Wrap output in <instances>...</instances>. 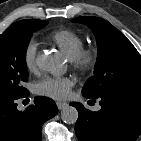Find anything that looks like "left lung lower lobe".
Instances as JSON below:
<instances>
[{
	"mask_svg": "<svg viewBox=\"0 0 141 141\" xmlns=\"http://www.w3.org/2000/svg\"><path fill=\"white\" fill-rule=\"evenodd\" d=\"M97 98L101 105L97 112L86 109L81 103L70 104L78 110L75 124L78 140L135 141L141 133V95L109 92Z\"/></svg>",
	"mask_w": 141,
	"mask_h": 141,
	"instance_id": "left-lung-lower-lobe-1",
	"label": "left lung lower lobe"
}]
</instances>
